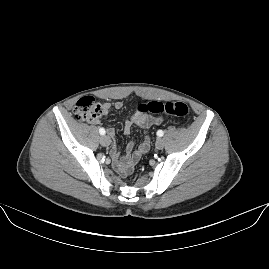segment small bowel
Instances as JSON below:
<instances>
[{
  "label": "small bowel",
  "instance_id": "obj_1",
  "mask_svg": "<svg viewBox=\"0 0 269 269\" xmlns=\"http://www.w3.org/2000/svg\"><path fill=\"white\" fill-rule=\"evenodd\" d=\"M121 102H113V103H105L103 105V113L107 114L112 108L119 109L121 108ZM164 121L163 117H153L147 116L145 114L137 113L132 115L124 124L123 132L124 134H129L131 132V128L133 125L138 126L139 128L145 130L149 126L152 125H159ZM94 123H98V121H94ZM107 134L109 137L113 138L115 135V131L113 128H107ZM147 136L146 134L144 135ZM143 138V140H144ZM134 144L129 142L126 146V153L125 155L120 158L119 154L116 152L115 148H113L112 158L114 166L119 169L123 174H126L125 166L127 164H133L134 161L141 158L144 154L149 151V148L145 147L143 141L139 145V147L133 152Z\"/></svg>",
  "mask_w": 269,
  "mask_h": 269
}]
</instances>
